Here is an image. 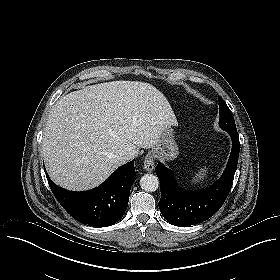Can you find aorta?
<instances>
[{
    "instance_id": "762f6f07",
    "label": "aorta",
    "mask_w": 280,
    "mask_h": 280,
    "mask_svg": "<svg viewBox=\"0 0 280 280\" xmlns=\"http://www.w3.org/2000/svg\"><path fill=\"white\" fill-rule=\"evenodd\" d=\"M140 186L147 192H154L159 187V179L153 174H145L140 179Z\"/></svg>"
}]
</instances>
